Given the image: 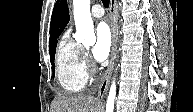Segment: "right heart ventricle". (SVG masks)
<instances>
[{
  "instance_id": "e07e8e85",
  "label": "right heart ventricle",
  "mask_w": 193,
  "mask_h": 112,
  "mask_svg": "<svg viewBox=\"0 0 193 112\" xmlns=\"http://www.w3.org/2000/svg\"><path fill=\"white\" fill-rule=\"evenodd\" d=\"M57 81L65 92L82 91L88 82L85 55L82 46L67 31L61 37L55 59Z\"/></svg>"
}]
</instances>
